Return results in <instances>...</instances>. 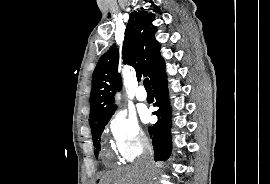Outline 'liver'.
Returning <instances> with one entry per match:
<instances>
[{"mask_svg":"<svg viewBox=\"0 0 270 184\" xmlns=\"http://www.w3.org/2000/svg\"><path fill=\"white\" fill-rule=\"evenodd\" d=\"M147 172L138 167H122L105 173L99 184H144Z\"/></svg>","mask_w":270,"mask_h":184,"instance_id":"6515ba94","label":"liver"}]
</instances>
